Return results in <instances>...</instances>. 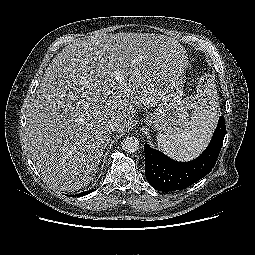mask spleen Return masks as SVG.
Listing matches in <instances>:
<instances>
[{"label": "spleen", "mask_w": 255, "mask_h": 255, "mask_svg": "<svg viewBox=\"0 0 255 255\" xmlns=\"http://www.w3.org/2000/svg\"><path fill=\"white\" fill-rule=\"evenodd\" d=\"M217 117L216 112L196 110L191 130L176 135H157L159 148L175 160L188 161L197 157L208 145Z\"/></svg>", "instance_id": "3e777b00"}]
</instances>
